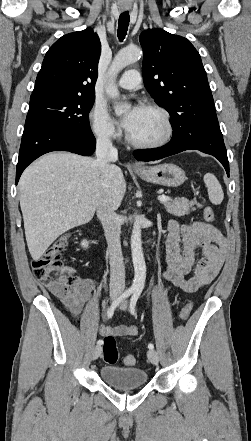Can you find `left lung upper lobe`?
<instances>
[{
	"mask_svg": "<svg viewBox=\"0 0 251 441\" xmlns=\"http://www.w3.org/2000/svg\"><path fill=\"white\" fill-rule=\"evenodd\" d=\"M144 85L171 116L173 131L194 115L216 117L201 58L188 39L160 29L141 33Z\"/></svg>",
	"mask_w": 251,
	"mask_h": 441,
	"instance_id": "left-lung-upper-lobe-1",
	"label": "left lung upper lobe"
}]
</instances>
